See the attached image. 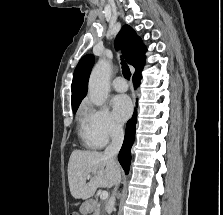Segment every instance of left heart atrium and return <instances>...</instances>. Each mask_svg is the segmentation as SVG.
<instances>
[{"instance_id": "39dd6f15", "label": "left heart atrium", "mask_w": 223, "mask_h": 215, "mask_svg": "<svg viewBox=\"0 0 223 215\" xmlns=\"http://www.w3.org/2000/svg\"><path fill=\"white\" fill-rule=\"evenodd\" d=\"M114 115L119 121H124L131 114V100L127 95H117L112 99Z\"/></svg>"}]
</instances>
